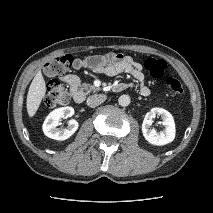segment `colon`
<instances>
[{
	"instance_id": "obj_1",
	"label": "colon",
	"mask_w": 213,
	"mask_h": 213,
	"mask_svg": "<svg viewBox=\"0 0 213 213\" xmlns=\"http://www.w3.org/2000/svg\"><path fill=\"white\" fill-rule=\"evenodd\" d=\"M72 64L73 57L71 55H64L49 60L44 65L43 70L47 77L54 78L67 71ZM144 66L149 74L155 79L162 78L166 70V63L161 59L148 58L145 61ZM165 85L174 94L180 95L183 92L181 82L173 76H167L165 78ZM68 101L69 94L67 89L60 81L52 79L47 85V91L44 98L45 105L50 108H55L66 105Z\"/></svg>"
}]
</instances>
